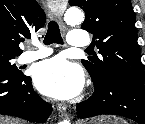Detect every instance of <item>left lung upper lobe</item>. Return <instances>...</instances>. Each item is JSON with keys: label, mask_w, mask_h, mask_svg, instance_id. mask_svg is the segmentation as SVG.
<instances>
[{"label": "left lung upper lobe", "mask_w": 145, "mask_h": 124, "mask_svg": "<svg viewBox=\"0 0 145 124\" xmlns=\"http://www.w3.org/2000/svg\"><path fill=\"white\" fill-rule=\"evenodd\" d=\"M69 4L85 11L81 28L93 34L92 43L102 55L81 60L94 87H100L116 75L144 80L131 1L69 0Z\"/></svg>", "instance_id": "1"}]
</instances>
